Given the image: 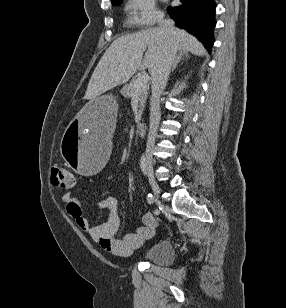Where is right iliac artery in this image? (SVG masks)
<instances>
[{
  "label": "right iliac artery",
  "mask_w": 286,
  "mask_h": 308,
  "mask_svg": "<svg viewBox=\"0 0 286 308\" xmlns=\"http://www.w3.org/2000/svg\"><path fill=\"white\" fill-rule=\"evenodd\" d=\"M140 167H141V170L142 172L144 173V175H147V170H146V156L143 154L141 156V160H140ZM148 204L149 205H152L153 204V196L152 194H148ZM156 215H159L160 211L158 209H155V212H154Z\"/></svg>",
  "instance_id": "82829eb1"
}]
</instances>
